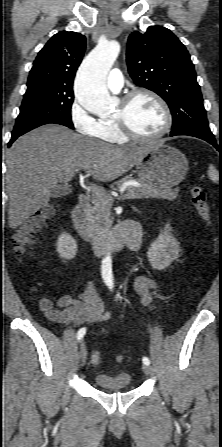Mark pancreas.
<instances>
[{"instance_id":"pancreas-1","label":"pancreas","mask_w":222,"mask_h":447,"mask_svg":"<svg viewBox=\"0 0 222 447\" xmlns=\"http://www.w3.org/2000/svg\"><path fill=\"white\" fill-rule=\"evenodd\" d=\"M129 180H135L141 185L140 188L132 186L127 188L128 193L134 194L135 198H162L172 201L178 197V189H163L158 185L149 184L141 179L133 177L122 178L114 183L117 188H114V185H112L111 188L119 189L122 184ZM109 198L112 197L104 190L102 196L92 195L93 206L88 212L86 226L88 234L93 239H98L100 236L108 232L112 226L110 208L113 201H110Z\"/></svg>"}]
</instances>
